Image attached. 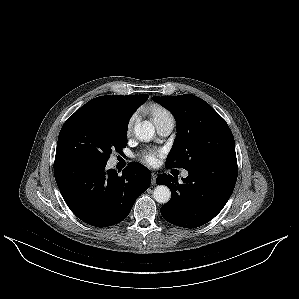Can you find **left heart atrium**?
<instances>
[{"mask_svg":"<svg viewBox=\"0 0 299 299\" xmlns=\"http://www.w3.org/2000/svg\"><path fill=\"white\" fill-rule=\"evenodd\" d=\"M160 150H146L140 155L141 159L150 166H154L157 163L158 156H160Z\"/></svg>","mask_w":299,"mask_h":299,"instance_id":"39dd6f15","label":"left heart atrium"}]
</instances>
